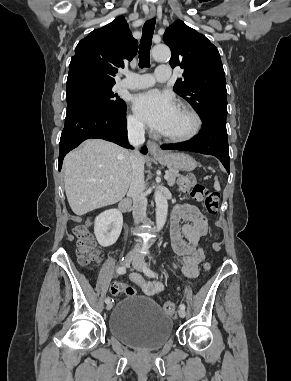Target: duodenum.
Segmentation results:
<instances>
[{
    "instance_id": "1",
    "label": "duodenum",
    "mask_w": 291,
    "mask_h": 381,
    "mask_svg": "<svg viewBox=\"0 0 291 381\" xmlns=\"http://www.w3.org/2000/svg\"><path fill=\"white\" fill-rule=\"evenodd\" d=\"M129 206H130V201H129L128 199H125V200H123V201L120 203L119 208H120L121 210H126V209L129 208Z\"/></svg>"
}]
</instances>
